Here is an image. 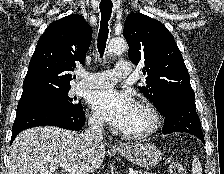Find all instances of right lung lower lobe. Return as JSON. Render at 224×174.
I'll return each mask as SVG.
<instances>
[{"label":"right lung lower lobe","mask_w":224,"mask_h":174,"mask_svg":"<svg viewBox=\"0 0 224 174\" xmlns=\"http://www.w3.org/2000/svg\"><path fill=\"white\" fill-rule=\"evenodd\" d=\"M84 124L85 113L82 108L62 111L41 102L19 104L13 124L11 143L21 131L31 127L49 125L78 131Z\"/></svg>","instance_id":"obj_1"}]
</instances>
